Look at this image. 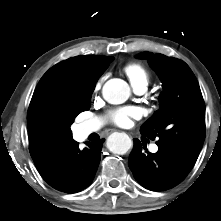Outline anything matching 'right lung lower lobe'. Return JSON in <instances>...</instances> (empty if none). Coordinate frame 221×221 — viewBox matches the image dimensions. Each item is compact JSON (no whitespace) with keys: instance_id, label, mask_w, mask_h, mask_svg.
<instances>
[{"instance_id":"98d812e1","label":"right lung lower lobe","mask_w":221,"mask_h":221,"mask_svg":"<svg viewBox=\"0 0 221 221\" xmlns=\"http://www.w3.org/2000/svg\"><path fill=\"white\" fill-rule=\"evenodd\" d=\"M104 139L86 142L87 147L79 149L72 140L62 149L52 153L35 164L42 178L56 190L75 193L91 184L97 171Z\"/></svg>"}]
</instances>
